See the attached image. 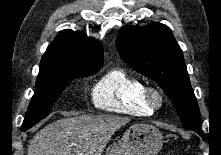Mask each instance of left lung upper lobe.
<instances>
[{
	"instance_id": "obj_1",
	"label": "left lung upper lobe",
	"mask_w": 221,
	"mask_h": 155,
	"mask_svg": "<svg viewBox=\"0 0 221 155\" xmlns=\"http://www.w3.org/2000/svg\"><path fill=\"white\" fill-rule=\"evenodd\" d=\"M116 47L130 67L159 83L176 107L185 129L201 130L199 107L183 53L168 26L158 22L141 28L126 26Z\"/></svg>"
}]
</instances>
